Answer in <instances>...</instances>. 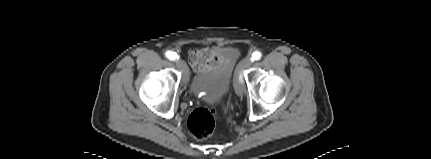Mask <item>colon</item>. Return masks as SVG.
<instances>
[{
	"instance_id": "obj_1",
	"label": "colon",
	"mask_w": 431,
	"mask_h": 159,
	"mask_svg": "<svg viewBox=\"0 0 431 159\" xmlns=\"http://www.w3.org/2000/svg\"><path fill=\"white\" fill-rule=\"evenodd\" d=\"M219 112L215 108L199 107L194 109L188 117L187 127L190 133L197 139H206L214 132L215 119Z\"/></svg>"
}]
</instances>
